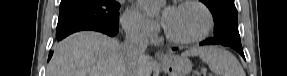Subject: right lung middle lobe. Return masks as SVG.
I'll use <instances>...</instances> for the list:
<instances>
[{
  "label": "right lung middle lobe",
  "instance_id": "right-lung-middle-lobe-1",
  "mask_svg": "<svg viewBox=\"0 0 287 76\" xmlns=\"http://www.w3.org/2000/svg\"><path fill=\"white\" fill-rule=\"evenodd\" d=\"M120 4L113 0H61L56 36L89 26H119Z\"/></svg>",
  "mask_w": 287,
  "mask_h": 76
}]
</instances>
